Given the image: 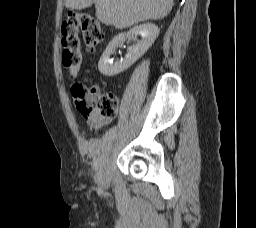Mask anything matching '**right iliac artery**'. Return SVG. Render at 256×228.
Wrapping results in <instances>:
<instances>
[{
	"label": "right iliac artery",
	"mask_w": 256,
	"mask_h": 228,
	"mask_svg": "<svg viewBox=\"0 0 256 228\" xmlns=\"http://www.w3.org/2000/svg\"><path fill=\"white\" fill-rule=\"evenodd\" d=\"M117 129H118V126H114L113 128H111L109 133L107 134V137L110 138L113 134H115Z\"/></svg>",
	"instance_id": "right-iliac-artery-1"
}]
</instances>
